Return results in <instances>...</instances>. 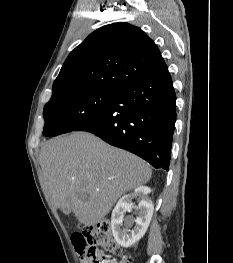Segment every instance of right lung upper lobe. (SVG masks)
<instances>
[{
    "mask_svg": "<svg viewBox=\"0 0 233 263\" xmlns=\"http://www.w3.org/2000/svg\"><path fill=\"white\" fill-rule=\"evenodd\" d=\"M168 70L157 45L141 29L114 23L90 34L67 57L52 96L82 89H120Z\"/></svg>",
    "mask_w": 233,
    "mask_h": 263,
    "instance_id": "obj_1",
    "label": "right lung upper lobe"
}]
</instances>
